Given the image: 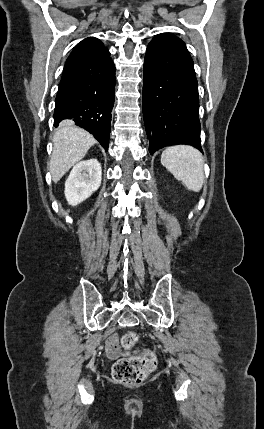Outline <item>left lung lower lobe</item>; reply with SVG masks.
<instances>
[{
  "instance_id": "1",
  "label": "left lung lower lobe",
  "mask_w": 264,
  "mask_h": 429,
  "mask_svg": "<svg viewBox=\"0 0 264 429\" xmlns=\"http://www.w3.org/2000/svg\"><path fill=\"white\" fill-rule=\"evenodd\" d=\"M143 118L151 154L177 144L202 152L193 60L185 43L171 33L155 36L146 50Z\"/></svg>"
}]
</instances>
